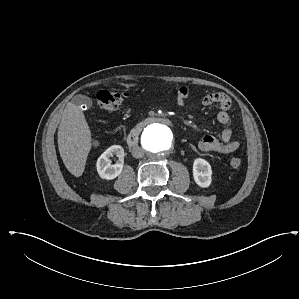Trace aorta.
<instances>
[{"label":"aorta","instance_id":"1","mask_svg":"<svg viewBox=\"0 0 299 299\" xmlns=\"http://www.w3.org/2000/svg\"><path fill=\"white\" fill-rule=\"evenodd\" d=\"M142 146L150 156H157L167 152L173 145V133L163 124H151L142 134Z\"/></svg>","mask_w":299,"mask_h":299}]
</instances>
